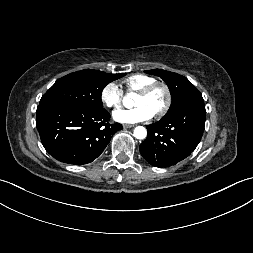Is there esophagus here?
<instances>
[{"instance_id":"esophagus-1","label":"esophagus","mask_w":253,"mask_h":253,"mask_svg":"<svg viewBox=\"0 0 253 253\" xmlns=\"http://www.w3.org/2000/svg\"><path fill=\"white\" fill-rule=\"evenodd\" d=\"M135 125L134 124H123V128H132L134 127Z\"/></svg>"}]
</instances>
